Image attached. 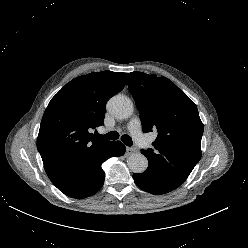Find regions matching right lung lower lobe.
Instances as JSON below:
<instances>
[{
    "label": "right lung lower lobe",
    "mask_w": 248,
    "mask_h": 248,
    "mask_svg": "<svg viewBox=\"0 0 248 248\" xmlns=\"http://www.w3.org/2000/svg\"><path fill=\"white\" fill-rule=\"evenodd\" d=\"M125 146L120 141H112L105 151L94 161L77 169L69 180L56 186L65 195L83 199L98 192L104 183L105 173L101 164L112 156H122Z\"/></svg>",
    "instance_id": "1"
}]
</instances>
